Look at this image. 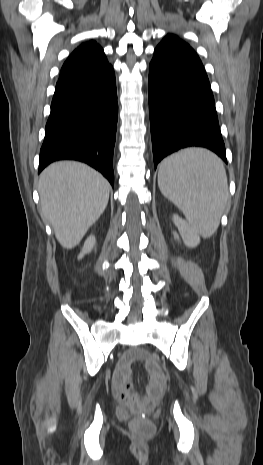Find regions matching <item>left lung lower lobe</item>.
I'll list each match as a JSON object with an SVG mask.
<instances>
[{
  "label": "left lung lower lobe",
  "instance_id": "left-lung-lower-lobe-1",
  "mask_svg": "<svg viewBox=\"0 0 263 465\" xmlns=\"http://www.w3.org/2000/svg\"><path fill=\"white\" fill-rule=\"evenodd\" d=\"M149 114L155 169L167 155L200 146L226 163L210 83L195 51L159 44L149 65Z\"/></svg>",
  "mask_w": 263,
  "mask_h": 465
}]
</instances>
